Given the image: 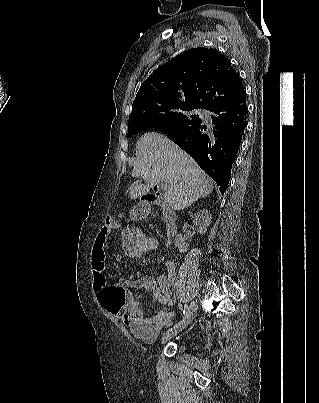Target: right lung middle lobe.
Wrapping results in <instances>:
<instances>
[{
	"mask_svg": "<svg viewBox=\"0 0 319 403\" xmlns=\"http://www.w3.org/2000/svg\"><path fill=\"white\" fill-rule=\"evenodd\" d=\"M200 107L186 104H162L146 108L138 116L129 119L127 137L149 128L161 132L182 129L201 120L199 115H190L189 111Z\"/></svg>",
	"mask_w": 319,
	"mask_h": 403,
	"instance_id": "right-lung-middle-lobe-1",
	"label": "right lung middle lobe"
}]
</instances>
